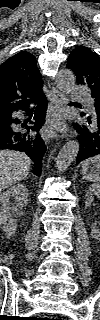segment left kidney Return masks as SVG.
<instances>
[{"label": "left kidney", "mask_w": 100, "mask_h": 320, "mask_svg": "<svg viewBox=\"0 0 100 320\" xmlns=\"http://www.w3.org/2000/svg\"><path fill=\"white\" fill-rule=\"evenodd\" d=\"M100 196V184L95 183L89 187L85 195V205L86 207H91L94 197ZM92 233L95 236H99V227L97 226V222L92 225Z\"/></svg>", "instance_id": "1"}]
</instances>
